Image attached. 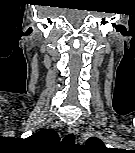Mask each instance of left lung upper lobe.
<instances>
[{
	"mask_svg": "<svg viewBox=\"0 0 135 153\" xmlns=\"http://www.w3.org/2000/svg\"><path fill=\"white\" fill-rule=\"evenodd\" d=\"M86 146L94 148V149H98V150L106 148L103 142L98 138H89L86 142Z\"/></svg>",
	"mask_w": 135,
	"mask_h": 153,
	"instance_id": "obj_1",
	"label": "left lung upper lobe"
}]
</instances>
